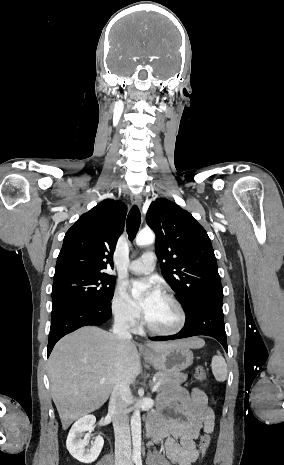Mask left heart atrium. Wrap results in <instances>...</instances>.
Listing matches in <instances>:
<instances>
[{"instance_id":"39dd6f15","label":"left heart atrium","mask_w":284,"mask_h":465,"mask_svg":"<svg viewBox=\"0 0 284 465\" xmlns=\"http://www.w3.org/2000/svg\"><path fill=\"white\" fill-rule=\"evenodd\" d=\"M127 297L129 302L145 316L159 297V292L152 281L138 279L129 282Z\"/></svg>"}]
</instances>
